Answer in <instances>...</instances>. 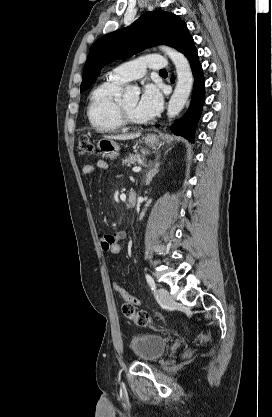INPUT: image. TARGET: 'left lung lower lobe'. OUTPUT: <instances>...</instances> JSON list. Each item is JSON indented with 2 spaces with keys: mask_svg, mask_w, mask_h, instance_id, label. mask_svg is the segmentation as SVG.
I'll return each instance as SVG.
<instances>
[{
  "mask_svg": "<svg viewBox=\"0 0 272 417\" xmlns=\"http://www.w3.org/2000/svg\"><path fill=\"white\" fill-rule=\"evenodd\" d=\"M191 69L194 75V88L190 107L185 116L180 122H175L171 127V130L177 134L185 137L186 139L193 141L196 123L200 117L202 106L204 103V77L202 72V66L199 62L198 53L196 47H194L187 55ZM172 82L174 78L172 77ZM159 126V125H156Z\"/></svg>",
  "mask_w": 272,
  "mask_h": 417,
  "instance_id": "0a47b994",
  "label": "left lung lower lobe"
}]
</instances>
